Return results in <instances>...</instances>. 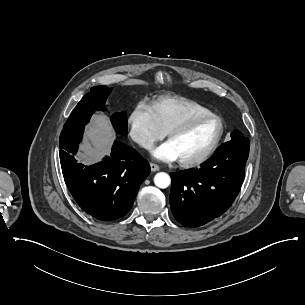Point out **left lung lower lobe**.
Masks as SVG:
<instances>
[{"mask_svg": "<svg viewBox=\"0 0 305 305\" xmlns=\"http://www.w3.org/2000/svg\"><path fill=\"white\" fill-rule=\"evenodd\" d=\"M248 155V138L228 141L200 168L171 174L175 219L186 227H199L228 210L243 183Z\"/></svg>", "mask_w": 305, "mask_h": 305, "instance_id": "left-lung-lower-lobe-1", "label": "left lung lower lobe"}]
</instances>
